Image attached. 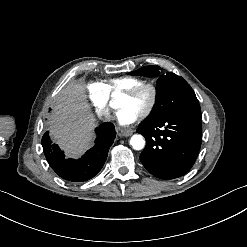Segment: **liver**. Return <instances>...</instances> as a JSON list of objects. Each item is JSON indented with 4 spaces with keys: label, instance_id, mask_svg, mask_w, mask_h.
<instances>
[{
    "label": "liver",
    "instance_id": "obj_1",
    "mask_svg": "<svg viewBox=\"0 0 247 247\" xmlns=\"http://www.w3.org/2000/svg\"><path fill=\"white\" fill-rule=\"evenodd\" d=\"M84 82H72L61 91L48 117L50 136L65 151L66 157L78 158L91 148L97 126L87 102Z\"/></svg>",
    "mask_w": 247,
    "mask_h": 247
}]
</instances>
